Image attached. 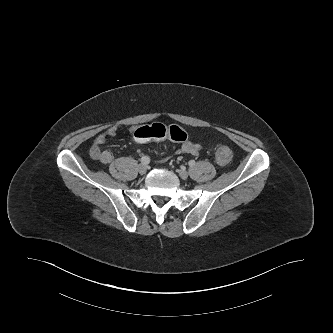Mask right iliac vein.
I'll use <instances>...</instances> for the list:
<instances>
[{
    "label": "right iliac vein",
    "instance_id": "63e3f726",
    "mask_svg": "<svg viewBox=\"0 0 333 333\" xmlns=\"http://www.w3.org/2000/svg\"><path fill=\"white\" fill-rule=\"evenodd\" d=\"M139 173L140 174H145L148 170V166L146 164H140L138 167Z\"/></svg>",
    "mask_w": 333,
    "mask_h": 333
}]
</instances>
